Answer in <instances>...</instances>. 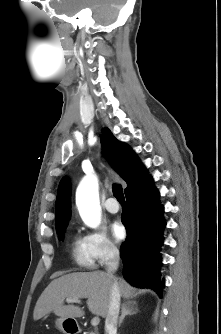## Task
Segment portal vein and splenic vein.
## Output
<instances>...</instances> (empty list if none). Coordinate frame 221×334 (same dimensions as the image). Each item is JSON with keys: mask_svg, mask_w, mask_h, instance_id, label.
Wrapping results in <instances>:
<instances>
[{"mask_svg": "<svg viewBox=\"0 0 221 334\" xmlns=\"http://www.w3.org/2000/svg\"><path fill=\"white\" fill-rule=\"evenodd\" d=\"M67 303H81V301L78 298H67L66 299ZM100 322V318L98 316L93 317L91 320V324L93 326H97Z\"/></svg>", "mask_w": 221, "mask_h": 334, "instance_id": "portal-vein-and-splenic-vein-1", "label": "portal vein and splenic vein"}]
</instances>
